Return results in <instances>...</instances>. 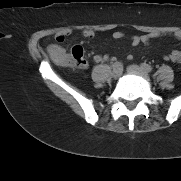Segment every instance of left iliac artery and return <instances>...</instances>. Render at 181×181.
Here are the masks:
<instances>
[{
	"instance_id": "1",
	"label": "left iliac artery",
	"mask_w": 181,
	"mask_h": 181,
	"mask_svg": "<svg viewBox=\"0 0 181 181\" xmlns=\"http://www.w3.org/2000/svg\"><path fill=\"white\" fill-rule=\"evenodd\" d=\"M141 67L144 69V70H146L147 72H150L151 71V66H149L148 64H146V63H142L141 64Z\"/></svg>"
}]
</instances>
